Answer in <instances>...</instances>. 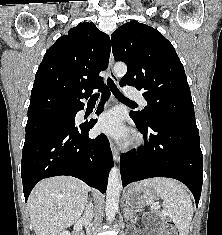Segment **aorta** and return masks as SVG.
<instances>
[{
  "label": "aorta",
  "instance_id": "obj_1",
  "mask_svg": "<svg viewBox=\"0 0 222 235\" xmlns=\"http://www.w3.org/2000/svg\"><path fill=\"white\" fill-rule=\"evenodd\" d=\"M127 73V66L124 63L114 65V74L117 77H123ZM122 190V181L120 170L114 166L109 173L107 192H106V217L108 222H112L118 212L120 192Z\"/></svg>",
  "mask_w": 222,
  "mask_h": 235
}]
</instances>
